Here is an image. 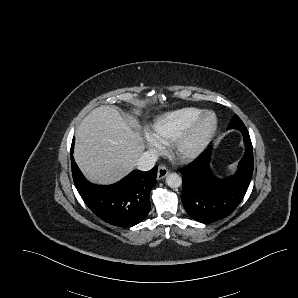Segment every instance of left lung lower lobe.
<instances>
[{
    "mask_svg": "<svg viewBox=\"0 0 298 298\" xmlns=\"http://www.w3.org/2000/svg\"><path fill=\"white\" fill-rule=\"evenodd\" d=\"M244 137L245 154L237 173L226 179H216L209 167L212 147L192 163L180 169L181 200L187 213L201 223H212L230 215L242 201L253 173V148L246 127L237 128Z\"/></svg>",
    "mask_w": 298,
    "mask_h": 298,
    "instance_id": "obj_1",
    "label": "left lung lower lobe"
}]
</instances>
